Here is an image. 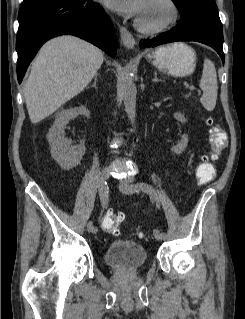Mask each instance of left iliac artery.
Listing matches in <instances>:
<instances>
[{
    "mask_svg": "<svg viewBox=\"0 0 245 319\" xmlns=\"http://www.w3.org/2000/svg\"><path fill=\"white\" fill-rule=\"evenodd\" d=\"M128 190L144 191V192L149 193L151 195L153 193L152 187L150 185H148L146 183H142V182H139V183H136L134 185H131L130 187H128ZM160 235L163 236L164 238H166V233L165 232H160Z\"/></svg>",
    "mask_w": 245,
    "mask_h": 319,
    "instance_id": "44dca946",
    "label": "left iliac artery"
}]
</instances>
